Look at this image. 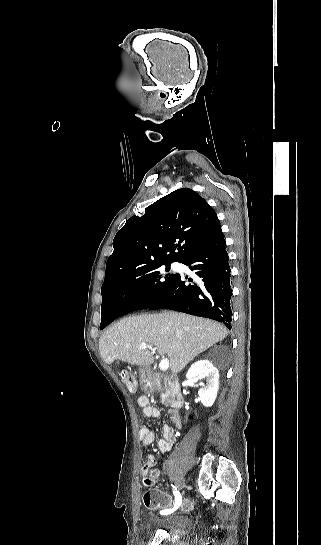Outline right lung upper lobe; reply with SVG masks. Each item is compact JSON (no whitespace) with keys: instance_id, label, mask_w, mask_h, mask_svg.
I'll return each instance as SVG.
<instances>
[{"instance_id":"obj_1","label":"right lung upper lobe","mask_w":321,"mask_h":545,"mask_svg":"<svg viewBox=\"0 0 321 545\" xmlns=\"http://www.w3.org/2000/svg\"><path fill=\"white\" fill-rule=\"evenodd\" d=\"M219 227L214 209L192 189L181 188L164 196L117 232L102 289L117 286L130 274L182 262Z\"/></svg>"}]
</instances>
